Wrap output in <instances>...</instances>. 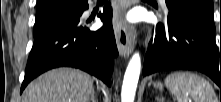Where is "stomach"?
<instances>
[{"label":"stomach","instance_id":"1","mask_svg":"<svg viewBox=\"0 0 221 102\" xmlns=\"http://www.w3.org/2000/svg\"><path fill=\"white\" fill-rule=\"evenodd\" d=\"M153 85L156 88H159V89L162 88V84L160 82H155V83H153Z\"/></svg>","mask_w":221,"mask_h":102}]
</instances>
